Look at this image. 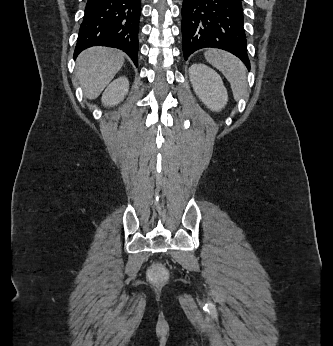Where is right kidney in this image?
<instances>
[{
	"label": "right kidney",
	"instance_id": "right-kidney-1",
	"mask_svg": "<svg viewBox=\"0 0 333 346\" xmlns=\"http://www.w3.org/2000/svg\"><path fill=\"white\" fill-rule=\"evenodd\" d=\"M129 89V81L126 77H119L108 85L102 95V103L105 106H114L121 102Z\"/></svg>",
	"mask_w": 333,
	"mask_h": 346
}]
</instances>
